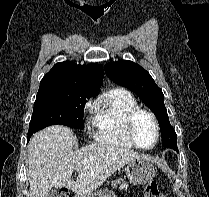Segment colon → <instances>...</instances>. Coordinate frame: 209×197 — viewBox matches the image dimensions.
Returning <instances> with one entry per match:
<instances>
[{
	"label": "colon",
	"instance_id": "5ec220e1",
	"mask_svg": "<svg viewBox=\"0 0 209 197\" xmlns=\"http://www.w3.org/2000/svg\"><path fill=\"white\" fill-rule=\"evenodd\" d=\"M143 195L144 197H164L155 181H151L144 186ZM57 197H71V195L67 191H61Z\"/></svg>",
	"mask_w": 209,
	"mask_h": 197
}]
</instances>
